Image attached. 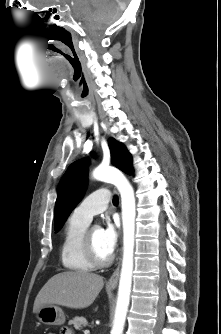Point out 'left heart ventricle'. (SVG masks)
<instances>
[{"instance_id":"b2bd125f","label":"left heart ventricle","mask_w":221,"mask_h":334,"mask_svg":"<svg viewBox=\"0 0 221 334\" xmlns=\"http://www.w3.org/2000/svg\"><path fill=\"white\" fill-rule=\"evenodd\" d=\"M91 236H92L97 253L101 257H107L108 255H110V252H108L102 244L101 230L98 227L92 228Z\"/></svg>"}]
</instances>
